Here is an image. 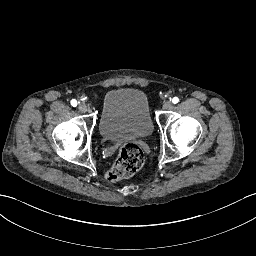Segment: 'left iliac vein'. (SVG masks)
Wrapping results in <instances>:
<instances>
[{
  "label": "left iliac vein",
  "mask_w": 256,
  "mask_h": 256,
  "mask_svg": "<svg viewBox=\"0 0 256 256\" xmlns=\"http://www.w3.org/2000/svg\"><path fill=\"white\" fill-rule=\"evenodd\" d=\"M162 107L164 110H169L172 108V102L169 100L164 101Z\"/></svg>",
  "instance_id": "left-iliac-vein-1"
}]
</instances>
